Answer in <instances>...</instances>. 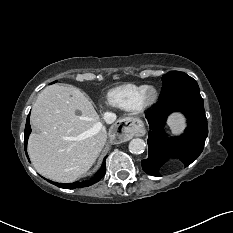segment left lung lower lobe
Masks as SVG:
<instances>
[{"mask_svg": "<svg viewBox=\"0 0 233 233\" xmlns=\"http://www.w3.org/2000/svg\"><path fill=\"white\" fill-rule=\"evenodd\" d=\"M183 112L188 126L179 137L168 138L163 127L169 114ZM149 155L141 161L143 170L152 176H161L160 168L169 158L179 159L185 167L201 154L208 135L207 118L199 88L177 91L147 112Z\"/></svg>", "mask_w": 233, "mask_h": 233, "instance_id": "obj_1", "label": "left lung lower lobe"}]
</instances>
